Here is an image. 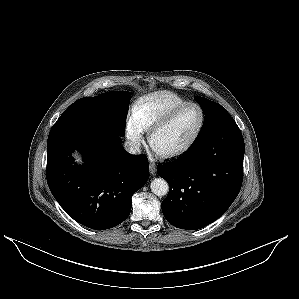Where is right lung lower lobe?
Listing matches in <instances>:
<instances>
[{
  "label": "right lung lower lobe",
  "instance_id": "98d812e1",
  "mask_svg": "<svg viewBox=\"0 0 299 299\" xmlns=\"http://www.w3.org/2000/svg\"><path fill=\"white\" fill-rule=\"evenodd\" d=\"M121 136L99 126L57 121L47 141L46 177L64 211L94 230L113 228L131 210L132 195L148 180V160L133 156ZM81 150L84 164L72 153Z\"/></svg>",
  "mask_w": 299,
  "mask_h": 299
}]
</instances>
